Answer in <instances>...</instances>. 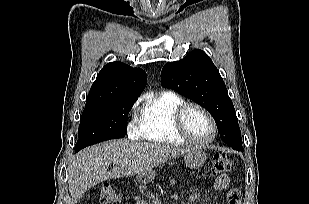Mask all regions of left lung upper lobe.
<instances>
[{"instance_id":"left-lung-upper-lobe-1","label":"left lung upper lobe","mask_w":309,"mask_h":204,"mask_svg":"<svg viewBox=\"0 0 309 204\" xmlns=\"http://www.w3.org/2000/svg\"><path fill=\"white\" fill-rule=\"evenodd\" d=\"M161 84L204 107L213 116L221 139L233 149L243 151L233 103L219 71L204 51L197 49L179 61L166 63Z\"/></svg>"}]
</instances>
